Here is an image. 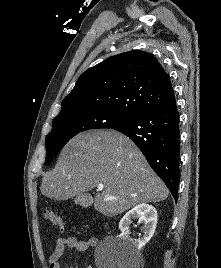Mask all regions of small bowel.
<instances>
[{
    "instance_id": "obj_1",
    "label": "small bowel",
    "mask_w": 221,
    "mask_h": 268,
    "mask_svg": "<svg viewBox=\"0 0 221 268\" xmlns=\"http://www.w3.org/2000/svg\"><path fill=\"white\" fill-rule=\"evenodd\" d=\"M97 243L98 240L95 237L77 239L76 237L70 236L60 238L49 256L48 268H61L60 259L67 248L75 249L78 252H84L89 248L95 247ZM86 268H92V266H87Z\"/></svg>"
}]
</instances>
